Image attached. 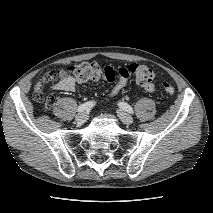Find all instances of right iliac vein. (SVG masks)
Masks as SVG:
<instances>
[{"label":"right iliac vein","mask_w":213,"mask_h":213,"mask_svg":"<svg viewBox=\"0 0 213 213\" xmlns=\"http://www.w3.org/2000/svg\"><path fill=\"white\" fill-rule=\"evenodd\" d=\"M87 119H88V115L85 112H81L77 114L75 117L76 122L79 124H83L84 122H86Z\"/></svg>","instance_id":"obj_1"}]
</instances>
